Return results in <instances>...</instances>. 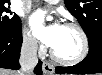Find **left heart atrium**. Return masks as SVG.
<instances>
[{
    "mask_svg": "<svg viewBox=\"0 0 102 75\" xmlns=\"http://www.w3.org/2000/svg\"><path fill=\"white\" fill-rule=\"evenodd\" d=\"M44 13L37 12L32 16L31 29L34 35L41 40L45 45L52 47L56 41L61 24L54 22L49 26L43 24Z\"/></svg>",
    "mask_w": 102,
    "mask_h": 75,
    "instance_id": "1",
    "label": "left heart atrium"
}]
</instances>
